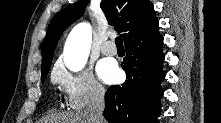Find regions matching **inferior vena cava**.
<instances>
[{
    "label": "inferior vena cava",
    "mask_w": 221,
    "mask_h": 123,
    "mask_svg": "<svg viewBox=\"0 0 221 123\" xmlns=\"http://www.w3.org/2000/svg\"><path fill=\"white\" fill-rule=\"evenodd\" d=\"M105 91L103 88L95 87L90 97V103L86 108V113L91 123H104L103 111L105 108L104 102Z\"/></svg>",
    "instance_id": "obj_1"
}]
</instances>
